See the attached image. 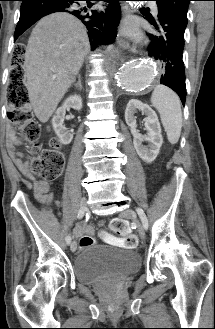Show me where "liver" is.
<instances>
[{
    "label": "liver",
    "instance_id": "1",
    "mask_svg": "<svg viewBox=\"0 0 215 329\" xmlns=\"http://www.w3.org/2000/svg\"><path fill=\"white\" fill-rule=\"evenodd\" d=\"M90 50L87 30L68 13L41 19L29 37L24 72L30 106L45 123L54 113Z\"/></svg>",
    "mask_w": 215,
    "mask_h": 329
}]
</instances>
